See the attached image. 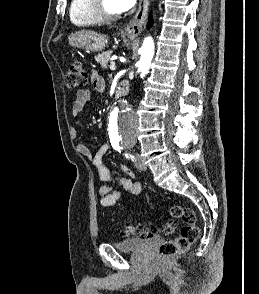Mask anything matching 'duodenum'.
Instances as JSON below:
<instances>
[{
    "mask_svg": "<svg viewBox=\"0 0 259 294\" xmlns=\"http://www.w3.org/2000/svg\"><path fill=\"white\" fill-rule=\"evenodd\" d=\"M128 89H129L128 82H126V81L121 82L117 86L116 91H115L116 99L121 100L126 95V93L128 92Z\"/></svg>",
    "mask_w": 259,
    "mask_h": 294,
    "instance_id": "obj_1",
    "label": "duodenum"
}]
</instances>
